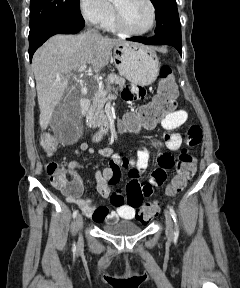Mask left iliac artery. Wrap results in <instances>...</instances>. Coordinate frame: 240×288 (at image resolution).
<instances>
[{
	"mask_svg": "<svg viewBox=\"0 0 240 288\" xmlns=\"http://www.w3.org/2000/svg\"><path fill=\"white\" fill-rule=\"evenodd\" d=\"M169 210H170V214L172 215V218L175 222V231H174V236L175 238H177L179 236V227H178V223H177V215L174 211V209L171 206H168Z\"/></svg>",
	"mask_w": 240,
	"mask_h": 288,
	"instance_id": "obj_1",
	"label": "left iliac artery"
}]
</instances>
